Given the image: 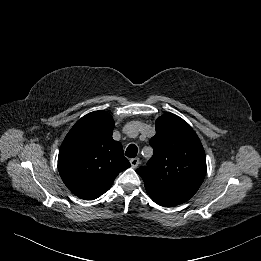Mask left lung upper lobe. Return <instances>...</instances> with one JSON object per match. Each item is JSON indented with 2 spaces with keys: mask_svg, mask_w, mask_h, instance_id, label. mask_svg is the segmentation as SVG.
<instances>
[{
  "mask_svg": "<svg viewBox=\"0 0 261 261\" xmlns=\"http://www.w3.org/2000/svg\"><path fill=\"white\" fill-rule=\"evenodd\" d=\"M156 135L150 139L154 154L147 166L136 172L147 190L191 198L206 174V156L195 131L182 118L166 113L156 120Z\"/></svg>",
  "mask_w": 261,
  "mask_h": 261,
  "instance_id": "obj_1",
  "label": "left lung upper lobe"
}]
</instances>
